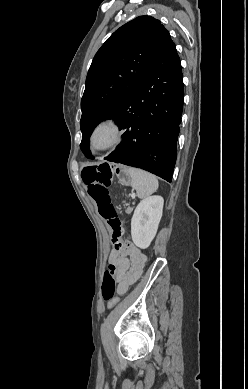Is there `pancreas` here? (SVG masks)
<instances>
[{
    "instance_id": "pancreas-1",
    "label": "pancreas",
    "mask_w": 248,
    "mask_h": 389,
    "mask_svg": "<svg viewBox=\"0 0 248 389\" xmlns=\"http://www.w3.org/2000/svg\"><path fill=\"white\" fill-rule=\"evenodd\" d=\"M131 211H132L131 207L127 208V210H126L127 213H131Z\"/></svg>"
}]
</instances>
